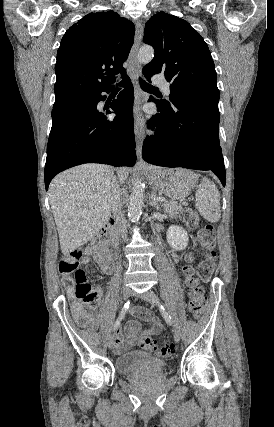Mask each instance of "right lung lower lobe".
I'll list each match as a JSON object with an SVG mask.
<instances>
[{"label": "right lung lower lobe", "instance_id": "obj_1", "mask_svg": "<svg viewBox=\"0 0 274 427\" xmlns=\"http://www.w3.org/2000/svg\"><path fill=\"white\" fill-rule=\"evenodd\" d=\"M125 89L110 107L117 116L109 120L111 111L97 108L105 97L104 89L69 104L54 105L53 124L47 145L45 187L59 172L83 163H104L133 166L136 162L133 132L134 89L128 77Z\"/></svg>", "mask_w": 274, "mask_h": 427}]
</instances>
